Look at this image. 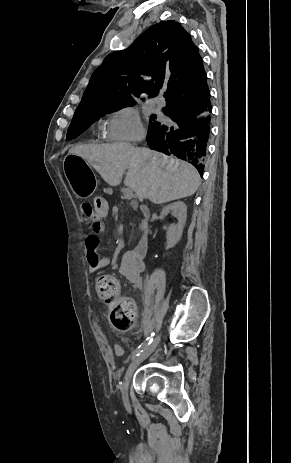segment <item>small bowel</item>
I'll return each mask as SVG.
<instances>
[{
  "label": "small bowel",
  "instance_id": "small-bowel-1",
  "mask_svg": "<svg viewBox=\"0 0 291 463\" xmlns=\"http://www.w3.org/2000/svg\"><path fill=\"white\" fill-rule=\"evenodd\" d=\"M107 215L108 210L106 209L105 217L94 216L89 231L83 241V256L87 269L91 273H97L111 265V259L106 256H100L97 251L99 235L105 230L103 220ZM143 269L144 259L142 256H139L134 249L126 251L123 254L119 266V273L137 290L143 289V279L141 276ZM113 352L116 356L122 355V349L120 347H115Z\"/></svg>",
  "mask_w": 291,
  "mask_h": 463
}]
</instances>
